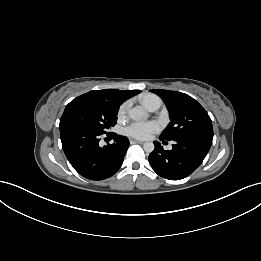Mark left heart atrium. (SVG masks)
I'll use <instances>...</instances> for the list:
<instances>
[{
    "instance_id": "obj_1",
    "label": "left heart atrium",
    "mask_w": 261,
    "mask_h": 261,
    "mask_svg": "<svg viewBox=\"0 0 261 261\" xmlns=\"http://www.w3.org/2000/svg\"><path fill=\"white\" fill-rule=\"evenodd\" d=\"M157 129L155 122H134L126 127L125 133L133 138L146 139Z\"/></svg>"
}]
</instances>
